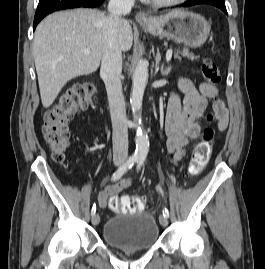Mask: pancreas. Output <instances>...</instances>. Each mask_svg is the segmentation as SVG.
I'll return each instance as SVG.
<instances>
[{
	"mask_svg": "<svg viewBox=\"0 0 265 269\" xmlns=\"http://www.w3.org/2000/svg\"><path fill=\"white\" fill-rule=\"evenodd\" d=\"M175 58L181 59L182 57H187L190 60H197L198 57L192 54L188 49L184 48L183 50H177L174 54Z\"/></svg>",
	"mask_w": 265,
	"mask_h": 269,
	"instance_id": "cf45deb5",
	"label": "pancreas"
}]
</instances>
